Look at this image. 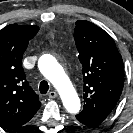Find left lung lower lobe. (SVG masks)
Masks as SVG:
<instances>
[{
	"label": "left lung lower lobe",
	"mask_w": 133,
	"mask_h": 133,
	"mask_svg": "<svg viewBox=\"0 0 133 133\" xmlns=\"http://www.w3.org/2000/svg\"><path fill=\"white\" fill-rule=\"evenodd\" d=\"M76 119L80 123H82L86 126H89V127H95L105 120L103 118L93 117V116H90V115H88L86 113H82V112L79 113L78 115H76Z\"/></svg>",
	"instance_id": "1"
}]
</instances>
